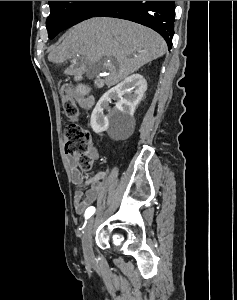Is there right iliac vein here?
Returning a JSON list of instances; mask_svg holds the SVG:
<instances>
[{
  "label": "right iliac vein",
  "instance_id": "1",
  "mask_svg": "<svg viewBox=\"0 0 237 300\" xmlns=\"http://www.w3.org/2000/svg\"><path fill=\"white\" fill-rule=\"evenodd\" d=\"M93 228H94V217H91L89 219V221L87 222V225L85 227V231L83 234V239H82V243H83V250L84 253L87 256H90L92 253V232H93Z\"/></svg>",
  "mask_w": 237,
  "mask_h": 300
}]
</instances>
